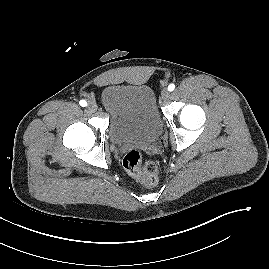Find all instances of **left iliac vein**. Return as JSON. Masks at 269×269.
I'll return each instance as SVG.
<instances>
[{
	"label": "left iliac vein",
	"mask_w": 269,
	"mask_h": 269,
	"mask_svg": "<svg viewBox=\"0 0 269 269\" xmlns=\"http://www.w3.org/2000/svg\"><path fill=\"white\" fill-rule=\"evenodd\" d=\"M161 97L164 101H167L170 98V92L167 89H163L161 92Z\"/></svg>",
	"instance_id": "1"
}]
</instances>
